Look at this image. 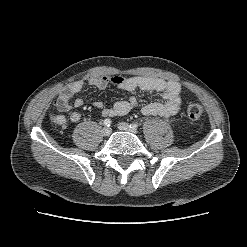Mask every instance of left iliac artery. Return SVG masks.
<instances>
[{
	"label": "left iliac artery",
	"instance_id": "obj_1",
	"mask_svg": "<svg viewBox=\"0 0 247 247\" xmlns=\"http://www.w3.org/2000/svg\"><path fill=\"white\" fill-rule=\"evenodd\" d=\"M130 128L136 130L138 128V124L132 123V124H130Z\"/></svg>",
	"mask_w": 247,
	"mask_h": 247
}]
</instances>
